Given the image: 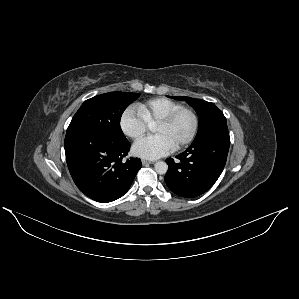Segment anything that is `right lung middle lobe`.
<instances>
[{
	"instance_id": "dd1d6c3e",
	"label": "right lung middle lobe",
	"mask_w": 299,
	"mask_h": 299,
	"mask_svg": "<svg viewBox=\"0 0 299 299\" xmlns=\"http://www.w3.org/2000/svg\"><path fill=\"white\" fill-rule=\"evenodd\" d=\"M139 94L110 92L86 100L76 112L67 131L94 129L105 132L117 140L126 139L120 127L122 113Z\"/></svg>"
}]
</instances>
